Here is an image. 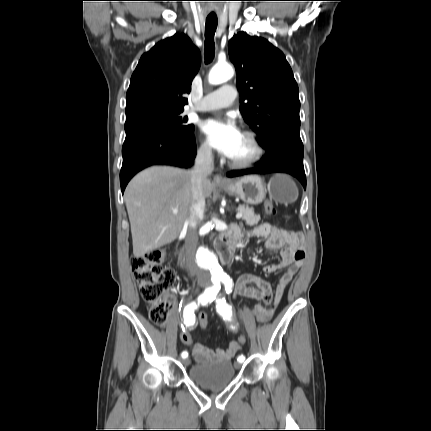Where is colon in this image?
Instances as JSON below:
<instances>
[{"mask_svg":"<svg viewBox=\"0 0 431 431\" xmlns=\"http://www.w3.org/2000/svg\"><path fill=\"white\" fill-rule=\"evenodd\" d=\"M268 215L275 213L272 202L264 205ZM133 275L136 279L142 298L148 303V315L150 320L159 327H164L168 318L169 307L164 299V293L174 284L176 274L173 268L164 264V254L160 251H151L141 256L133 257L131 260ZM258 316V310H253V319ZM209 311L198 310L199 323L205 327L209 322ZM247 335L240 332L237 343L246 345ZM180 342L185 347L194 345V340L187 329L180 331Z\"/></svg>","mask_w":431,"mask_h":431,"instance_id":"5ec220e1","label":"colon"}]
</instances>
